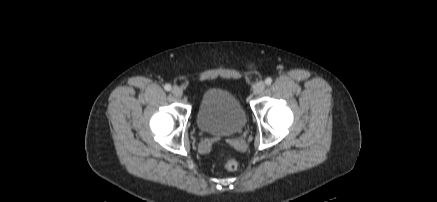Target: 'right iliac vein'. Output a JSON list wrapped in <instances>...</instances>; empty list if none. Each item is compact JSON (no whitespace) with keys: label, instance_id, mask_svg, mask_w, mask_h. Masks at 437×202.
<instances>
[{"label":"right iliac vein","instance_id":"63e3f726","mask_svg":"<svg viewBox=\"0 0 437 202\" xmlns=\"http://www.w3.org/2000/svg\"><path fill=\"white\" fill-rule=\"evenodd\" d=\"M171 92L175 97H181L183 95V90L177 86L173 87Z\"/></svg>","mask_w":437,"mask_h":202}]
</instances>
